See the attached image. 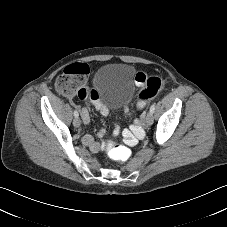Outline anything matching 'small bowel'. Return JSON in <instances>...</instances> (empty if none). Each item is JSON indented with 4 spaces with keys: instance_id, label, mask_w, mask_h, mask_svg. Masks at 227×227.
Returning <instances> with one entry per match:
<instances>
[{
    "instance_id": "obj_1",
    "label": "small bowel",
    "mask_w": 227,
    "mask_h": 227,
    "mask_svg": "<svg viewBox=\"0 0 227 227\" xmlns=\"http://www.w3.org/2000/svg\"><path fill=\"white\" fill-rule=\"evenodd\" d=\"M76 69H77V72L80 75H83L85 77H88L89 74H90V69H89V67L86 64H78L76 66ZM84 91H85L86 98H87V96L90 95V93H89V91L87 89H84ZM66 96L69 97L70 99H72L71 95H67L66 94ZM95 106H96V109L99 111V113L102 116H106L108 114V109L106 108V106L102 105L98 101H95ZM80 114H81V118H82L83 123L87 124L90 121V112L86 108H83V109H81ZM133 129L137 133L139 132V129H137V128H133ZM119 133H120V129L116 128L115 131H114V134L118 135ZM105 135H106V131L105 130H100L99 133H98L99 139H102ZM126 135H130V134L128 132H124V136H126ZM83 141L89 147V149L92 152H98V151H100L102 149L101 142L95 140L94 137H92L91 135H85L83 137Z\"/></svg>"
}]
</instances>
